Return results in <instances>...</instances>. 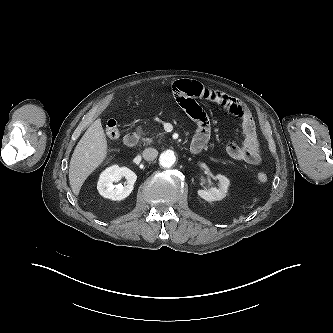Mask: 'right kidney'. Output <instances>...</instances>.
<instances>
[{
  "instance_id": "obj_1",
  "label": "right kidney",
  "mask_w": 333,
  "mask_h": 333,
  "mask_svg": "<svg viewBox=\"0 0 333 333\" xmlns=\"http://www.w3.org/2000/svg\"><path fill=\"white\" fill-rule=\"evenodd\" d=\"M123 177L126 179L124 186L121 184L113 185V182H118ZM136 179L137 175L129 168L113 165L101 173L97 189L104 198L120 201L132 192Z\"/></svg>"
}]
</instances>
